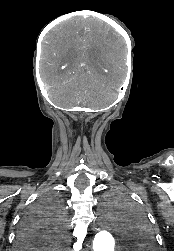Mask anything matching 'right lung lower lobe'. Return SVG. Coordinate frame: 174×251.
I'll return each instance as SVG.
<instances>
[{
    "label": "right lung lower lobe",
    "instance_id": "obj_1",
    "mask_svg": "<svg viewBox=\"0 0 174 251\" xmlns=\"http://www.w3.org/2000/svg\"><path fill=\"white\" fill-rule=\"evenodd\" d=\"M61 231L54 229L48 222L39 219H24L17 233L18 251H35L33 247H45L51 242L62 250Z\"/></svg>",
    "mask_w": 174,
    "mask_h": 251
}]
</instances>
